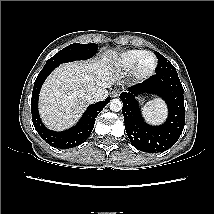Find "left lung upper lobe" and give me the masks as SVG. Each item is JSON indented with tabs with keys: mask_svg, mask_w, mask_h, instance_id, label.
Returning <instances> with one entry per match:
<instances>
[{
	"mask_svg": "<svg viewBox=\"0 0 214 214\" xmlns=\"http://www.w3.org/2000/svg\"><path fill=\"white\" fill-rule=\"evenodd\" d=\"M158 59V67L156 73H176L174 66L160 53L155 52Z\"/></svg>",
	"mask_w": 214,
	"mask_h": 214,
	"instance_id": "left-lung-upper-lobe-1",
	"label": "left lung upper lobe"
}]
</instances>
